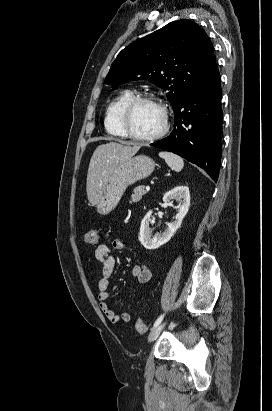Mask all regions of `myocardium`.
Wrapping results in <instances>:
<instances>
[{
  "label": "myocardium",
  "mask_w": 272,
  "mask_h": 411,
  "mask_svg": "<svg viewBox=\"0 0 272 411\" xmlns=\"http://www.w3.org/2000/svg\"><path fill=\"white\" fill-rule=\"evenodd\" d=\"M140 103H153L161 110L163 122L161 128L154 134L140 136L135 134L129 126V118L134 107ZM120 124L126 137L140 142H152L161 139L169 130V115L166 105L157 97L152 95H135L130 98L120 112Z\"/></svg>",
  "instance_id": "obj_1"
}]
</instances>
